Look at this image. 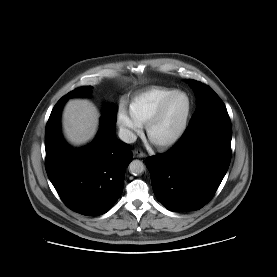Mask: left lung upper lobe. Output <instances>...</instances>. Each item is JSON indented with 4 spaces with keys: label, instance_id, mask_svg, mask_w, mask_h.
Wrapping results in <instances>:
<instances>
[{
    "label": "left lung upper lobe",
    "instance_id": "obj_1",
    "mask_svg": "<svg viewBox=\"0 0 277 277\" xmlns=\"http://www.w3.org/2000/svg\"><path fill=\"white\" fill-rule=\"evenodd\" d=\"M185 81L194 89L197 97V107L189 125L210 114L227 111L222 100L209 86L191 79Z\"/></svg>",
    "mask_w": 277,
    "mask_h": 277
}]
</instances>
